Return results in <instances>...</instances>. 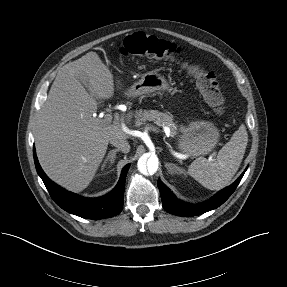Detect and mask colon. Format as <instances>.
<instances>
[{
    "label": "colon",
    "mask_w": 287,
    "mask_h": 287,
    "mask_svg": "<svg viewBox=\"0 0 287 287\" xmlns=\"http://www.w3.org/2000/svg\"><path fill=\"white\" fill-rule=\"evenodd\" d=\"M122 55L146 56L158 59H173L179 54L178 47L159 37L136 32L126 37L119 48ZM208 105L216 113L223 111L224 97L216 75L209 68L198 64H186Z\"/></svg>",
    "instance_id": "5ec220e1"
}]
</instances>
